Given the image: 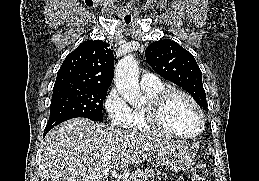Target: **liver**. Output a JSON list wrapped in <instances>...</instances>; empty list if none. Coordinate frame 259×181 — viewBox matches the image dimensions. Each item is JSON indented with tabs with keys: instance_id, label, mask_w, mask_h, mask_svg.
I'll return each mask as SVG.
<instances>
[{
	"instance_id": "6515ba94",
	"label": "liver",
	"mask_w": 259,
	"mask_h": 181,
	"mask_svg": "<svg viewBox=\"0 0 259 181\" xmlns=\"http://www.w3.org/2000/svg\"><path fill=\"white\" fill-rule=\"evenodd\" d=\"M172 143L86 118L71 119L45 136L41 181H104L109 172L126 170Z\"/></svg>"
}]
</instances>
